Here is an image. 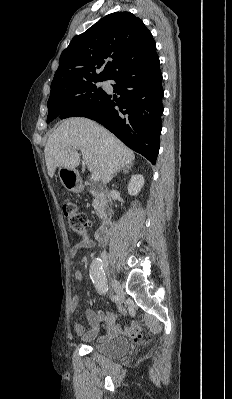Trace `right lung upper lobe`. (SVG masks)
Instances as JSON below:
<instances>
[{
    "label": "right lung upper lobe",
    "mask_w": 232,
    "mask_h": 399,
    "mask_svg": "<svg viewBox=\"0 0 232 399\" xmlns=\"http://www.w3.org/2000/svg\"><path fill=\"white\" fill-rule=\"evenodd\" d=\"M155 51L152 34L141 19L130 12L109 14L75 36L62 52L51 83V95L83 83L110 79Z\"/></svg>",
    "instance_id": "right-lung-upper-lobe-1"
}]
</instances>
